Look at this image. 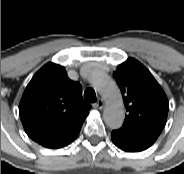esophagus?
<instances>
[{
    "label": "esophagus",
    "instance_id": "1",
    "mask_svg": "<svg viewBox=\"0 0 184 174\" xmlns=\"http://www.w3.org/2000/svg\"><path fill=\"white\" fill-rule=\"evenodd\" d=\"M105 106V103L102 99H98V101L95 103V107L98 109H103Z\"/></svg>",
    "mask_w": 184,
    "mask_h": 174
}]
</instances>
